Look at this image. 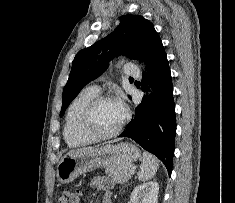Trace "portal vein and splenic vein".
Here are the masks:
<instances>
[{"label":"portal vein and splenic vein","mask_w":235,"mask_h":203,"mask_svg":"<svg viewBox=\"0 0 235 203\" xmlns=\"http://www.w3.org/2000/svg\"><path fill=\"white\" fill-rule=\"evenodd\" d=\"M131 174H134L135 173V170H134V168L131 170V172H130Z\"/></svg>","instance_id":"portal-vein-and-splenic-vein-1"}]
</instances>
